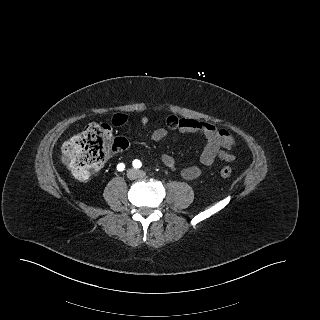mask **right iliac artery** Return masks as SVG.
<instances>
[{
  "label": "right iliac artery",
  "mask_w": 320,
  "mask_h": 320,
  "mask_svg": "<svg viewBox=\"0 0 320 320\" xmlns=\"http://www.w3.org/2000/svg\"><path fill=\"white\" fill-rule=\"evenodd\" d=\"M125 169V165L123 164V163H119L118 165H117V170L118 171H123Z\"/></svg>",
  "instance_id": "82829eb1"
}]
</instances>
